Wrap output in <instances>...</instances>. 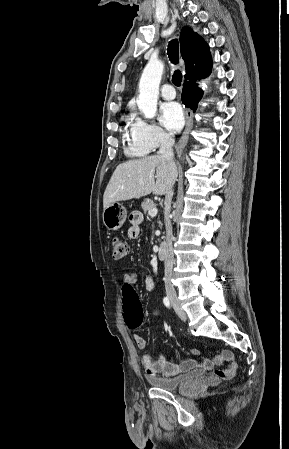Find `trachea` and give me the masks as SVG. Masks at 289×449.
<instances>
[{
	"label": "trachea",
	"mask_w": 289,
	"mask_h": 449,
	"mask_svg": "<svg viewBox=\"0 0 289 449\" xmlns=\"http://www.w3.org/2000/svg\"><path fill=\"white\" fill-rule=\"evenodd\" d=\"M167 54L169 56V60L174 65L179 62V44L178 40H172L169 42ZM172 82L175 86H180L182 82V73L180 70H176L172 76Z\"/></svg>",
	"instance_id": "1"
}]
</instances>
